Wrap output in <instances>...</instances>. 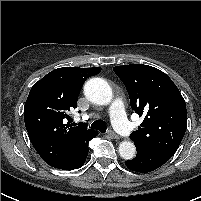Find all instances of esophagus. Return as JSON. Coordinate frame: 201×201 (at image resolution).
<instances>
[{
  "label": "esophagus",
  "mask_w": 201,
  "mask_h": 201,
  "mask_svg": "<svg viewBox=\"0 0 201 201\" xmlns=\"http://www.w3.org/2000/svg\"><path fill=\"white\" fill-rule=\"evenodd\" d=\"M107 135H108L110 138H112V139H118V138H119L118 135H117L114 131H112V130H109V131L107 132Z\"/></svg>",
  "instance_id": "esophagus-1"
}]
</instances>
